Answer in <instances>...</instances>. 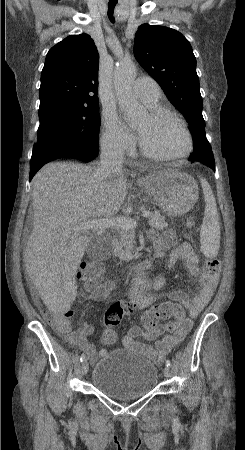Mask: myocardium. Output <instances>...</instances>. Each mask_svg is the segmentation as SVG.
<instances>
[{
	"mask_svg": "<svg viewBox=\"0 0 245 450\" xmlns=\"http://www.w3.org/2000/svg\"><path fill=\"white\" fill-rule=\"evenodd\" d=\"M150 117L156 121L164 119V118H169V119L173 120L174 122H176L178 125H180V127L184 131L186 138H187L188 145H187L186 150L181 154L171 155V156H163V155H158L153 152H150L149 150H147L144 147V145L140 141V150H141V154L144 157L149 158L154 161H159V162H170V161L184 159L191 155V153L194 150V140H193L192 134H191L189 128L187 127V125L185 124V122L175 112H173L170 109L155 108V109L151 110Z\"/></svg>",
	"mask_w": 245,
	"mask_h": 450,
	"instance_id": "f54148a6",
	"label": "myocardium"
}]
</instances>
